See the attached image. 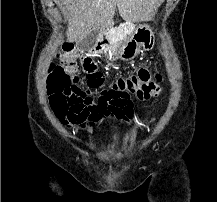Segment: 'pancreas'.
Wrapping results in <instances>:
<instances>
[{
    "label": "pancreas",
    "instance_id": "1",
    "mask_svg": "<svg viewBox=\"0 0 217 202\" xmlns=\"http://www.w3.org/2000/svg\"><path fill=\"white\" fill-rule=\"evenodd\" d=\"M133 29V25H132V22H124V23H120L119 26L115 27V32L117 34H129L131 32V30Z\"/></svg>",
    "mask_w": 217,
    "mask_h": 202
}]
</instances>
